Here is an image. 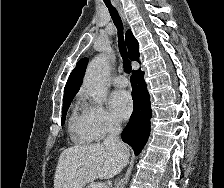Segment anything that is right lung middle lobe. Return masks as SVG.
Returning a JSON list of instances; mask_svg holds the SVG:
<instances>
[{"instance_id":"right-lung-middle-lobe-1","label":"right lung middle lobe","mask_w":224,"mask_h":188,"mask_svg":"<svg viewBox=\"0 0 224 188\" xmlns=\"http://www.w3.org/2000/svg\"><path fill=\"white\" fill-rule=\"evenodd\" d=\"M72 99H73V97L63 101V108H62V115H63V117L61 119V125H63L65 123V116L67 114V110H68V108L70 106V103H71Z\"/></svg>"}]
</instances>
